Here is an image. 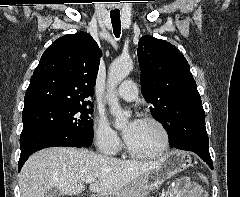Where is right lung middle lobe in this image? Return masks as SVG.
Listing matches in <instances>:
<instances>
[{
  "label": "right lung middle lobe",
  "mask_w": 240,
  "mask_h": 197,
  "mask_svg": "<svg viewBox=\"0 0 240 197\" xmlns=\"http://www.w3.org/2000/svg\"><path fill=\"white\" fill-rule=\"evenodd\" d=\"M92 112L83 104H49L24 110L23 131L50 130L89 147L93 141Z\"/></svg>",
  "instance_id": "obj_1"
}]
</instances>
